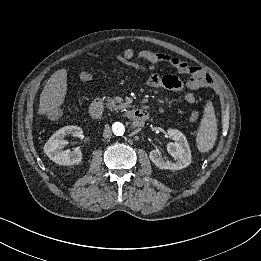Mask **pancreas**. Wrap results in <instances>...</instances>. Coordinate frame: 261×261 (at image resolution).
<instances>
[{
	"label": "pancreas",
	"instance_id": "cf45deb5",
	"mask_svg": "<svg viewBox=\"0 0 261 261\" xmlns=\"http://www.w3.org/2000/svg\"><path fill=\"white\" fill-rule=\"evenodd\" d=\"M107 107L110 110H120L127 107L120 97H111L107 99Z\"/></svg>",
	"mask_w": 261,
	"mask_h": 261
}]
</instances>
